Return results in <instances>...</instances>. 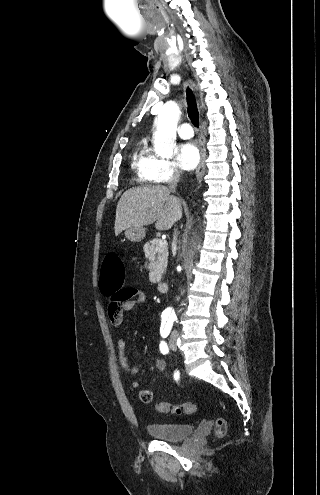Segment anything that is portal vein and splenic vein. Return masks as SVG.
<instances>
[{"instance_id":"1","label":"portal vein and splenic vein","mask_w":320,"mask_h":495,"mask_svg":"<svg viewBox=\"0 0 320 495\" xmlns=\"http://www.w3.org/2000/svg\"><path fill=\"white\" fill-rule=\"evenodd\" d=\"M159 244H160V246L166 245V244H167V241H166V240H161V241L159 242Z\"/></svg>"}]
</instances>
